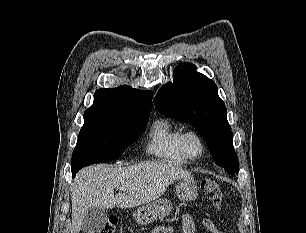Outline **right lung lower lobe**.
<instances>
[{"instance_id":"98d812e1","label":"right lung lower lobe","mask_w":306,"mask_h":233,"mask_svg":"<svg viewBox=\"0 0 306 233\" xmlns=\"http://www.w3.org/2000/svg\"><path fill=\"white\" fill-rule=\"evenodd\" d=\"M77 173V172H76ZM76 173H72L73 177L75 176Z\"/></svg>"}]
</instances>
